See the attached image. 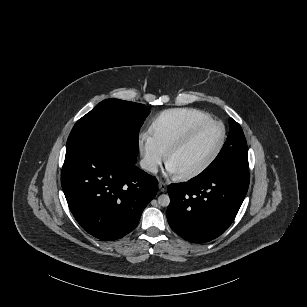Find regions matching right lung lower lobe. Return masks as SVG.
<instances>
[{"label":"right lung lower lobe","instance_id":"98d812e1","mask_svg":"<svg viewBox=\"0 0 307 307\" xmlns=\"http://www.w3.org/2000/svg\"><path fill=\"white\" fill-rule=\"evenodd\" d=\"M136 159L106 142L66 152L61 185L68 206L92 236L111 241L131 232L157 193L158 181Z\"/></svg>","mask_w":307,"mask_h":307}]
</instances>
